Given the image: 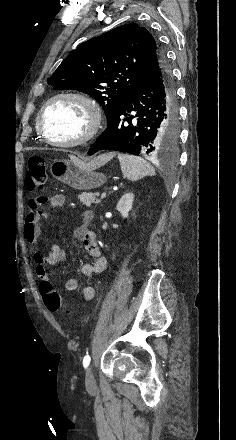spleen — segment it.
Returning a JSON list of instances; mask_svg holds the SVG:
<instances>
[{"label": "spleen", "mask_w": 236, "mask_h": 440, "mask_svg": "<svg viewBox=\"0 0 236 440\" xmlns=\"http://www.w3.org/2000/svg\"><path fill=\"white\" fill-rule=\"evenodd\" d=\"M118 159L123 175L130 181H137L155 174V169L151 164L141 157L119 153Z\"/></svg>", "instance_id": "obj_1"}]
</instances>
